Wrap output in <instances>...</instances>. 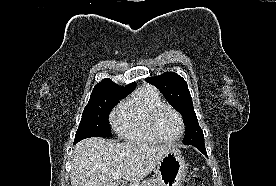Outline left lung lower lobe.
Listing matches in <instances>:
<instances>
[{
    "instance_id": "obj_1",
    "label": "left lung lower lobe",
    "mask_w": 276,
    "mask_h": 186,
    "mask_svg": "<svg viewBox=\"0 0 276 186\" xmlns=\"http://www.w3.org/2000/svg\"><path fill=\"white\" fill-rule=\"evenodd\" d=\"M189 145H193L194 147L199 149L204 155L207 156V152H206V149H205L204 142L203 143H193V144H189Z\"/></svg>"
}]
</instances>
